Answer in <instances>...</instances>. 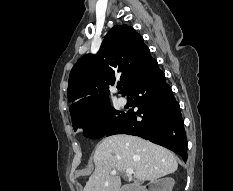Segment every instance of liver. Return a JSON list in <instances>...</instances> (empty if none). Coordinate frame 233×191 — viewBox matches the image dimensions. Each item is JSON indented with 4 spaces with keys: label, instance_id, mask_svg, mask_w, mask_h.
I'll return each mask as SVG.
<instances>
[{
    "label": "liver",
    "instance_id": "obj_1",
    "mask_svg": "<svg viewBox=\"0 0 233 191\" xmlns=\"http://www.w3.org/2000/svg\"><path fill=\"white\" fill-rule=\"evenodd\" d=\"M93 160L95 170L83 191H120V175L112 170L134 171L139 181H153L174 173L178 168L175 155L166 148L130 135H114L97 144Z\"/></svg>",
    "mask_w": 233,
    "mask_h": 191
}]
</instances>
